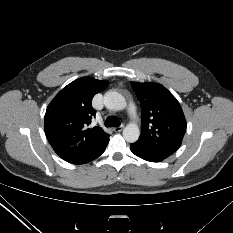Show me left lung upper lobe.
<instances>
[{
  "label": "left lung upper lobe",
  "mask_w": 233,
  "mask_h": 233,
  "mask_svg": "<svg viewBox=\"0 0 233 233\" xmlns=\"http://www.w3.org/2000/svg\"><path fill=\"white\" fill-rule=\"evenodd\" d=\"M142 108L139 141L155 150L173 154L186 132V120L177 99L162 85L131 82Z\"/></svg>",
  "instance_id": "obj_1"
}]
</instances>
